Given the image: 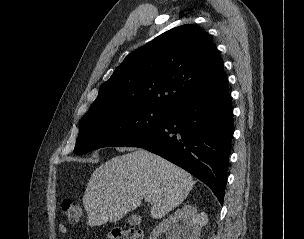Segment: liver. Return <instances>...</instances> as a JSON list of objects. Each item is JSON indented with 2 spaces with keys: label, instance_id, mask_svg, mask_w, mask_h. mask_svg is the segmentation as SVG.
<instances>
[{
  "label": "liver",
  "instance_id": "6515ba94",
  "mask_svg": "<svg viewBox=\"0 0 304 239\" xmlns=\"http://www.w3.org/2000/svg\"><path fill=\"white\" fill-rule=\"evenodd\" d=\"M194 185L192 176L146 150L115 156L97 168L87 183L83 205L89 226L116 222L148 197L150 214L162 218L181 204Z\"/></svg>",
  "mask_w": 304,
  "mask_h": 239
}]
</instances>
